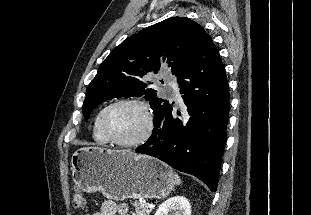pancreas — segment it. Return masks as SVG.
<instances>
[{
  "label": "pancreas",
  "instance_id": "1",
  "mask_svg": "<svg viewBox=\"0 0 311 215\" xmlns=\"http://www.w3.org/2000/svg\"><path fill=\"white\" fill-rule=\"evenodd\" d=\"M131 204L135 207L136 215H149L151 209L148 207V203L146 202H131Z\"/></svg>",
  "mask_w": 311,
  "mask_h": 215
}]
</instances>
